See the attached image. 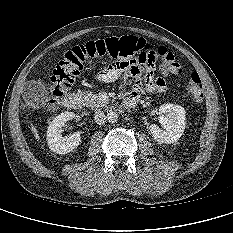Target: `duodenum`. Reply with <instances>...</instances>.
<instances>
[{
  "label": "duodenum",
  "instance_id": "obj_1",
  "mask_svg": "<svg viewBox=\"0 0 233 233\" xmlns=\"http://www.w3.org/2000/svg\"><path fill=\"white\" fill-rule=\"evenodd\" d=\"M124 106L132 108L138 103V96L129 94L124 99ZM64 105L70 109L78 110L82 107L81 99L75 93H69L64 99Z\"/></svg>",
  "mask_w": 233,
  "mask_h": 233
}]
</instances>
